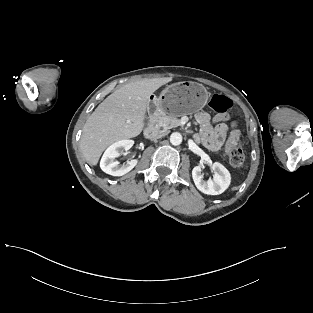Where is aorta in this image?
<instances>
[{"mask_svg": "<svg viewBox=\"0 0 313 313\" xmlns=\"http://www.w3.org/2000/svg\"><path fill=\"white\" fill-rule=\"evenodd\" d=\"M170 143L174 146L182 143V135L178 132H174L170 135Z\"/></svg>", "mask_w": 313, "mask_h": 313, "instance_id": "762f6f07", "label": "aorta"}]
</instances>
